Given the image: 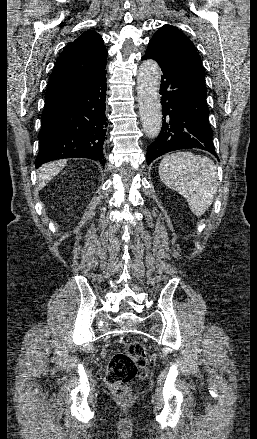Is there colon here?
<instances>
[{
    "instance_id": "obj_1",
    "label": "colon",
    "mask_w": 257,
    "mask_h": 439,
    "mask_svg": "<svg viewBox=\"0 0 257 439\" xmlns=\"http://www.w3.org/2000/svg\"><path fill=\"white\" fill-rule=\"evenodd\" d=\"M147 364V353L139 342H131L124 351L115 354L108 368L106 382L117 397L128 400L130 397L127 383L132 381L139 369Z\"/></svg>"
}]
</instances>
